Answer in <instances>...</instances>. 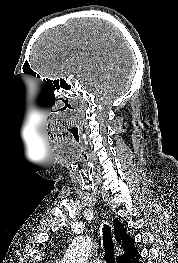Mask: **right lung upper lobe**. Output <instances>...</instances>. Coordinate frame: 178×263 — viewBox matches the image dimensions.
Listing matches in <instances>:
<instances>
[{
  "label": "right lung upper lobe",
  "instance_id": "right-lung-upper-lobe-1",
  "mask_svg": "<svg viewBox=\"0 0 178 263\" xmlns=\"http://www.w3.org/2000/svg\"><path fill=\"white\" fill-rule=\"evenodd\" d=\"M114 234L116 237V241L124 250V253L122 255L117 256L116 262L122 263L123 260L127 259L134 252L137 251L134 246L135 241L126 233L124 226L117 218L114 220Z\"/></svg>",
  "mask_w": 178,
  "mask_h": 263
}]
</instances>
